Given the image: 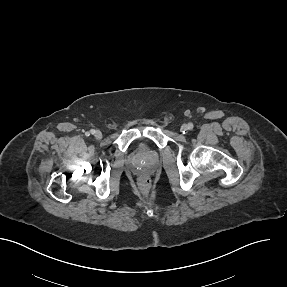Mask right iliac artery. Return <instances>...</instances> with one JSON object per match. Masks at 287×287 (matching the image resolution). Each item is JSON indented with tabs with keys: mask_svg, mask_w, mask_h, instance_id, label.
Masks as SVG:
<instances>
[{
	"mask_svg": "<svg viewBox=\"0 0 287 287\" xmlns=\"http://www.w3.org/2000/svg\"><path fill=\"white\" fill-rule=\"evenodd\" d=\"M94 132H95V130L92 129L90 132H87L86 135L89 136L90 133H91V134H94Z\"/></svg>",
	"mask_w": 287,
	"mask_h": 287,
	"instance_id": "obj_1",
	"label": "right iliac artery"
}]
</instances>
